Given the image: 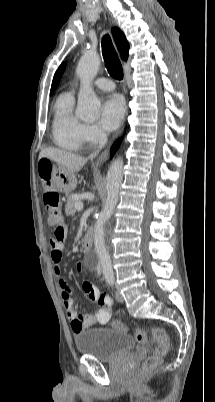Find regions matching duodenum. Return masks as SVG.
<instances>
[{
    "mask_svg": "<svg viewBox=\"0 0 215 402\" xmlns=\"http://www.w3.org/2000/svg\"><path fill=\"white\" fill-rule=\"evenodd\" d=\"M93 244V232L91 230L87 231L82 239L81 248L84 253H88Z\"/></svg>",
    "mask_w": 215,
    "mask_h": 402,
    "instance_id": "obj_1",
    "label": "duodenum"
}]
</instances>
